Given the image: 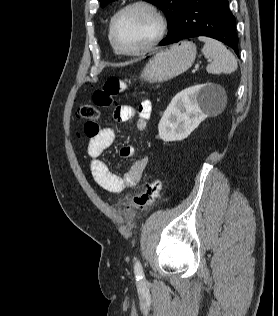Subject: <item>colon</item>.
Segmentation results:
<instances>
[{
    "label": "colon",
    "instance_id": "1",
    "mask_svg": "<svg viewBox=\"0 0 278 316\" xmlns=\"http://www.w3.org/2000/svg\"><path fill=\"white\" fill-rule=\"evenodd\" d=\"M127 88L126 84L117 77L108 78L102 88L93 93L94 105H81L77 111V118L84 121V133L86 136L95 135L99 130L98 108L108 107L113 104L115 97ZM162 183L159 179H153L146 184L144 190L132 197L127 206L132 209H146L151 207L159 198Z\"/></svg>",
    "mask_w": 278,
    "mask_h": 316
}]
</instances>
